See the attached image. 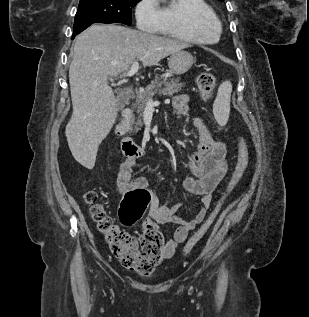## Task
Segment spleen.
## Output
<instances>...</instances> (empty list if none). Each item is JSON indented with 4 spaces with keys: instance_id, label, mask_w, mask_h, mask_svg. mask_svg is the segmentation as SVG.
Masks as SVG:
<instances>
[{
    "instance_id": "1",
    "label": "spleen",
    "mask_w": 309,
    "mask_h": 317,
    "mask_svg": "<svg viewBox=\"0 0 309 317\" xmlns=\"http://www.w3.org/2000/svg\"><path fill=\"white\" fill-rule=\"evenodd\" d=\"M232 84L230 81H224L220 84L217 97L213 104V114L220 125H225L230 113V98Z\"/></svg>"
}]
</instances>
